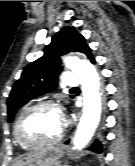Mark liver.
Instances as JSON below:
<instances>
[{
	"label": "liver",
	"instance_id": "obj_1",
	"mask_svg": "<svg viewBox=\"0 0 135 166\" xmlns=\"http://www.w3.org/2000/svg\"><path fill=\"white\" fill-rule=\"evenodd\" d=\"M30 157H31V155L28 156L27 158H24V159H22V160L17 161V162L14 164V166H27V165L29 164V158H30Z\"/></svg>",
	"mask_w": 135,
	"mask_h": 166
}]
</instances>
